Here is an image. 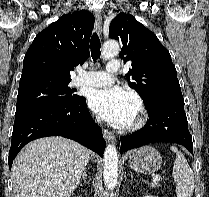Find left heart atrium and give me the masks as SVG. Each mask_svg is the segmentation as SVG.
I'll list each match as a JSON object with an SVG mask.
<instances>
[{
    "mask_svg": "<svg viewBox=\"0 0 209 197\" xmlns=\"http://www.w3.org/2000/svg\"><path fill=\"white\" fill-rule=\"evenodd\" d=\"M89 106L105 121L118 127L131 125L138 111L135 96L115 86L93 91Z\"/></svg>",
    "mask_w": 209,
    "mask_h": 197,
    "instance_id": "1",
    "label": "left heart atrium"
}]
</instances>
